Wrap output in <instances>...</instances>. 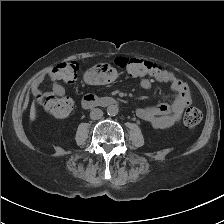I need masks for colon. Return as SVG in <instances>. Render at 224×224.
<instances>
[{"instance_id": "5ec220e1", "label": "colon", "mask_w": 224, "mask_h": 224, "mask_svg": "<svg viewBox=\"0 0 224 224\" xmlns=\"http://www.w3.org/2000/svg\"><path fill=\"white\" fill-rule=\"evenodd\" d=\"M115 64L133 77H150L159 80L163 84L171 80L167 71L161 69L157 64L144 59L118 57L115 59ZM52 69L54 73L59 75L62 81L70 83L77 77L79 64L76 61L68 60L53 66ZM38 101L48 114L57 119L66 118L73 108L72 100L66 97H41ZM201 120L202 113L198 108L190 106L185 110L183 122L186 127H196Z\"/></svg>"}]
</instances>
